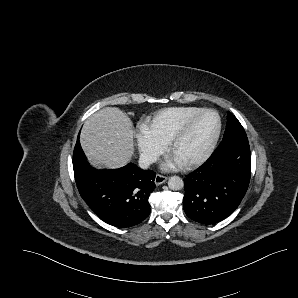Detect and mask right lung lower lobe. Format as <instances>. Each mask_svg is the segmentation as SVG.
Here are the masks:
<instances>
[{
  "label": "right lung lower lobe",
  "instance_id": "98d812e1",
  "mask_svg": "<svg viewBox=\"0 0 298 298\" xmlns=\"http://www.w3.org/2000/svg\"><path fill=\"white\" fill-rule=\"evenodd\" d=\"M73 169L79 193L104 222L131 227L150 214L148 202L156 173L133 163L114 170H96L84 155L79 136L74 148Z\"/></svg>",
  "mask_w": 298,
  "mask_h": 298
}]
</instances>
